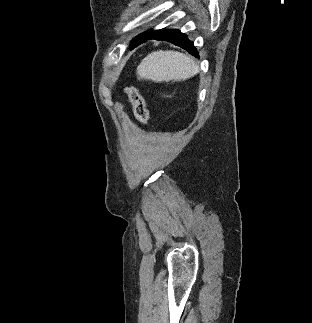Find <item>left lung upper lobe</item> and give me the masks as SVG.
<instances>
[{
  "label": "left lung upper lobe",
  "mask_w": 312,
  "mask_h": 323,
  "mask_svg": "<svg viewBox=\"0 0 312 323\" xmlns=\"http://www.w3.org/2000/svg\"><path fill=\"white\" fill-rule=\"evenodd\" d=\"M149 32L150 31L144 32V33L138 35L137 37H135L131 41L130 48L132 49V48L136 47L137 45H139L142 42V40L144 39V37L149 34Z\"/></svg>",
  "instance_id": "5c2ea615"
}]
</instances>
